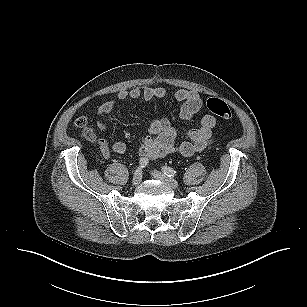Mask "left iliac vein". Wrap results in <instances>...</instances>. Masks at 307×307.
<instances>
[{
  "instance_id": "1",
  "label": "left iliac vein",
  "mask_w": 307,
  "mask_h": 307,
  "mask_svg": "<svg viewBox=\"0 0 307 307\" xmlns=\"http://www.w3.org/2000/svg\"><path fill=\"white\" fill-rule=\"evenodd\" d=\"M153 176H154V178L160 180L161 182H163L164 184L168 185L169 187H171L173 189L179 188V184L175 179L169 178L161 172L154 171Z\"/></svg>"
}]
</instances>
